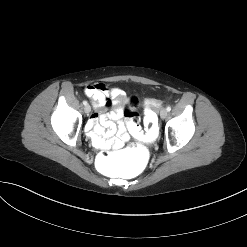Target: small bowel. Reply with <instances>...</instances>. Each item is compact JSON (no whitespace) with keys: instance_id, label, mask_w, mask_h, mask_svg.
Segmentation results:
<instances>
[{"instance_id":"1","label":"small bowel","mask_w":247,"mask_h":247,"mask_svg":"<svg viewBox=\"0 0 247 247\" xmlns=\"http://www.w3.org/2000/svg\"><path fill=\"white\" fill-rule=\"evenodd\" d=\"M84 92L96 109L86 124L87 136L97 148H121L126 134V126L119 122L123 116L121 103L124 92L118 88H107L102 83L88 85ZM111 106L114 107L112 110ZM127 127L129 128L128 124Z\"/></svg>"}]
</instances>
